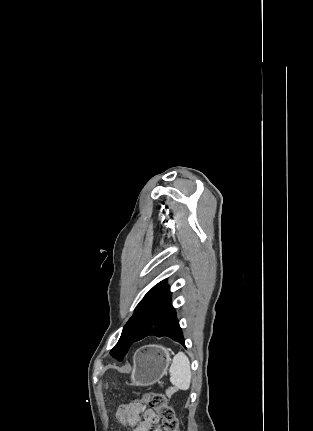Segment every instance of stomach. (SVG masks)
<instances>
[{
  "label": "stomach",
  "mask_w": 313,
  "mask_h": 431,
  "mask_svg": "<svg viewBox=\"0 0 313 431\" xmlns=\"http://www.w3.org/2000/svg\"><path fill=\"white\" fill-rule=\"evenodd\" d=\"M170 363L169 350L159 345H147L139 348L134 356L131 374L135 386H150L159 381Z\"/></svg>",
  "instance_id": "stomach-1"
}]
</instances>
